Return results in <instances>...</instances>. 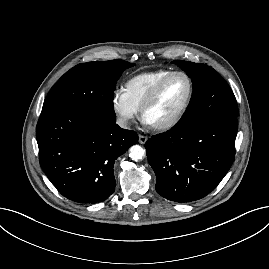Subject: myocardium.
<instances>
[{"mask_svg":"<svg viewBox=\"0 0 269 269\" xmlns=\"http://www.w3.org/2000/svg\"><path fill=\"white\" fill-rule=\"evenodd\" d=\"M177 75L184 76L188 81L189 91H188L187 99L185 103L183 104V106L180 108V110L173 117L161 123L150 124V126L157 131H165V130H169L173 128L181 121V119L186 114L194 96V82L192 78L190 77V75L184 71H172L155 86V88L152 90V92L150 93V95L148 96V98L143 103L142 107L140 108V117L142 120L145 121L146 112L155 104L165 84L172 77L177 76Z\"/></svg>","mask_w":269,"mask_h":269,"instance_id":"myocardium-1","label":"myocardium"}]
</instances>
